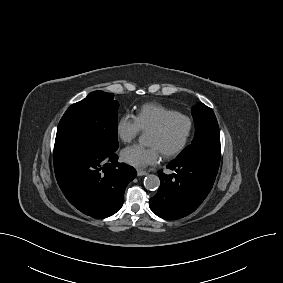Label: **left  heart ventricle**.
Masks as SVG:
<instances>
[{"mask_svg":"<svg viewBox=\"0 0 283 283\" xmlns=\"http://www.w3.org/2000/svg\"><path fill=\"white\" fill-rule=\"evenodd\" d=\"M187 132V123L182 119L174 120L164 133L150 132L148 144L156 146L163 152L170 151L177 147L184 139Z\"/></svg>","mask_w":283,"mask_h":283,"instance_id":"obj_1","label":"left heart ventricle"}]
</instances>
